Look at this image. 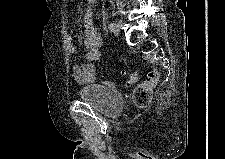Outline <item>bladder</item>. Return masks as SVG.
<instances>
[{
  "label": "bladder",
  "instance_id": "bladder-1",
  "mask_svg": "<svg viewBox=\"0 0 225 159\" xmlns=\"http://www.w3.org/2000/svg\"><path fill=\"white\" fill-rule=\"evenodd\" d=\"M81 101L107 117L118 115L124 107V98L117 88L100 82L90 83L79 91Z\"/></svg>",
  "mask_w": 225,
  "mask_h": 159
}]
</instances>
